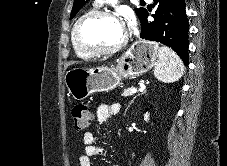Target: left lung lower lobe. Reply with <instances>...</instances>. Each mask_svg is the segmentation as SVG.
<instances>
[{
  "mask_svg": "<svg viewBox=\"0 0 227 166\" xmlns=\"http://www.w3.org/2000/svg\"><path fill=\"white\" fill-rule=\"evenodd\" d=\"M157 5L154 21L146 13L141 21V38L154 40L171 47L188 65V20L184 0H154Z\"/></svg>",
  "mask_w": 227,
  "mask_h": 166,
  "instance_id": "0a47b994",
  "label": "left lung lower lobe"
}]
</instances>
